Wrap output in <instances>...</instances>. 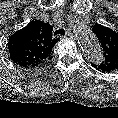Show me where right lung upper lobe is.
<instances>
[{"instance_id": "cb5924a9", "label": "right lung upper lobe", "mask_w": 118, "mask_h": 118, "mask_svg": "<svg viewBox=\"0 0 118 118\" xmlns=\"http://www.w3.org/2000/svg\"><path fill=\"white\" fill-rule=\"evenodd\" d=\"M53 27L40 20L30 22L9 38L11 60L23 67H35L51 53L57 38L52 36Z\"/></svg>"}]
</instances>
